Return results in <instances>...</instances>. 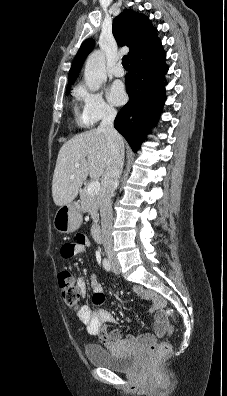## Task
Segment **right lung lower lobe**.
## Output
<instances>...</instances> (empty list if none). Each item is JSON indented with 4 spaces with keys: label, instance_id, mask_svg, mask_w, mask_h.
Returning <instances> with one entry per match:
<instances>
[{
    "label": "right lung lower lobe",
    "instance_id": "1",
    "mask_svg": "<svg viewBox=\"0 0 227 396\" xmlns=\"http://www.w3.org/2000/svg\"><path fill=\"white\" fill-rule=\"evenodd\" d=\"M165 59L159 40L130 60V71L125 76L129 101L118 113L114 127L135 152L150 132V126L158 121L165 102L164 76L168 71Z\"/></svg>",
    "mask_w": 227,
    "mask_h": 396
}]
</instances>
